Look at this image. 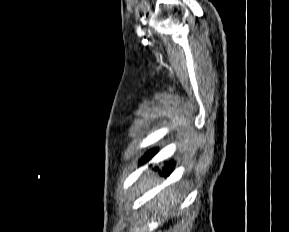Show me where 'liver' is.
<instances>
[{"mask_svg":"<svg viewBox=\"0 0 289 232\" xmlns=\"http://www.w3.org/2000/svg\"><path fill=\"white\" fill-rule=\"evenodd\" d=\"M141 180H142L141 183L142 188H144L145 185L148 188H151L153 185H157L159 183V180L157 178H155L153 182V180L151 179L148 180L146 176H143ZM177 195H178L177 191L169 187L161 191L157 195V198L153 199V204L155 205L154 209L155 212L159 214V218L164 219L172 214L173 210L180 203V195L179 196ZM149 207H153V205L149 204Z\"/></svg>","mask_w":289,"mask_h":232,"instance_id":"6515ba94","label":"liver"}]
</instances>
